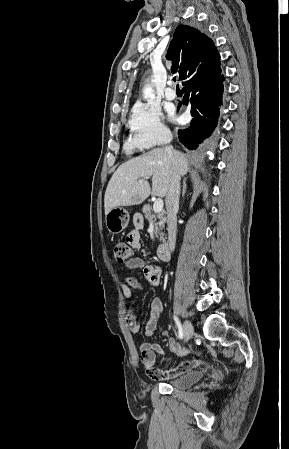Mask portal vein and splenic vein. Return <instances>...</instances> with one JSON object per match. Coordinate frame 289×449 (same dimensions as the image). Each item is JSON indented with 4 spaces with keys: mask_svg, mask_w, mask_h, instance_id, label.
Listing matches in <instances>:
<instances>
[{
    "mask_svg": "<svg viewBox=\"0 0 289 449\" xmlns=\"http://www.w3.org/2000/svg\"><path fill=\"white\" fill-rule=\"evenodd\" d=\"M143 181H144L143 179H140L138 182H139V183H142ZM163 206H164L163 200H162L161 198H158V199L155 200V202H154V205H153V211H154L155 213H159V212L162 211Z\"/></svg>",
    "mask_w": 289,
    "mask_h": 449,
    "instance_id": "portal-vein-and-splenic-vein-1",
    "label": "portal vein and splenic vein"
}]
</instances>
